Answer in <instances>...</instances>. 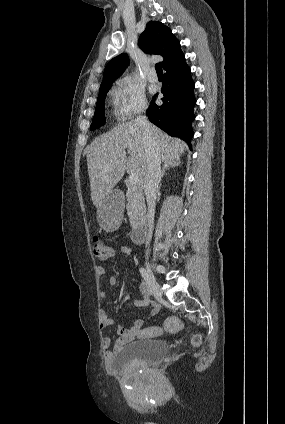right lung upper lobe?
I'll return each mask as SVG.
<instances>
[{
	"label": "right lung upper lobe",
	"instance_id": "right-lung-upper-lobe-1",
	"mask_svg": "<svg viewBox=\"0 0 285 424\" xmlns=\"http://www.w3.org/2000/svg\"><path fill=\"white\" fill-rule=\"evenodd\" d=\"M138 44L147 53L161 55L164 58L163 62H161L164 70L184 59L178 39L167 26L158 21L147 23L146 29L139 37ZM128 62L129 58L126 53H122L110 60L105 67L100 88L112 85L124 72Z\"/></svg>",
	"mask_w": 285,
	"mask_h": 424
}]
</instances>
